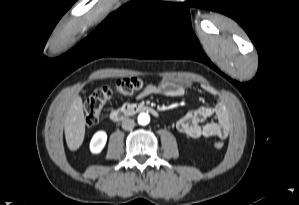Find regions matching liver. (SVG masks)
<instances>
[{"mask_svg": "<svg viewBox=\"0 0 299 205\" xmlns=\"http://www.w3.org/2000/svg\"><path fill=\"white\" fill-rule=\"evenodd\" d=\"M65 139L71 151L77 150L85 136V117L82 99L75 96L65 117Z\"/></svg>", "mask_w": 299, "mask_h": 205, "instance_id": "6515ba94", "label": "liver"}]
</instances>
